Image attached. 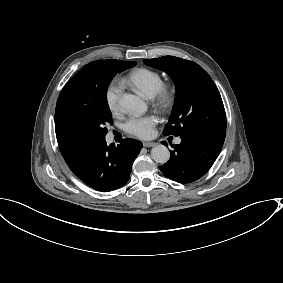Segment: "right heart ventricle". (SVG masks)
<instances>
[{"label":"right heart ventricle","mask_w":283,"mask_h":283,"mask_svg":"<svg viewBox=\"0 0 283 283\" xmlns=\"http://www.w3.org/2000/svg\"><path fill=\"white\" fill-rule=\"evenodd\" d=\"M123 80L126 85L139 88L146 96L154 95L162 84L161 75L157 71L144 66L130 69Z\"/></svg>","instance_id":"1"}]
</instances>
